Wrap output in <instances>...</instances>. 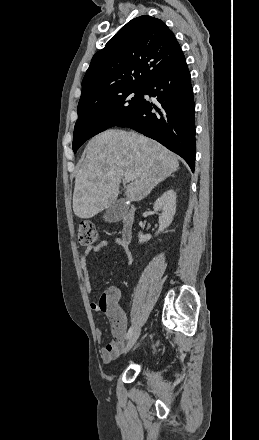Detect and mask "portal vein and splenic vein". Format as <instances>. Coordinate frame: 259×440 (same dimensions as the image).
Segmentation results:
<instances>
[{
  "label": "portal vein and splenic vein",
  "instance_id": "portal-vein-and-splenic-vein-1",
  "mask_svg": "<svg viewBox=\"0 0 259 440\" xmlns=\"http://www.w3.org/2000/svg\"><path fill=\"white\" fill-rule=\"evenodd\" d=\"M124 178H125L126 181H131V180H133V176L130 175V174H126V175L124 176Z\"/></svg>",
  "mask_w": 259,
  "mask_h": 440
}]
</instances>
